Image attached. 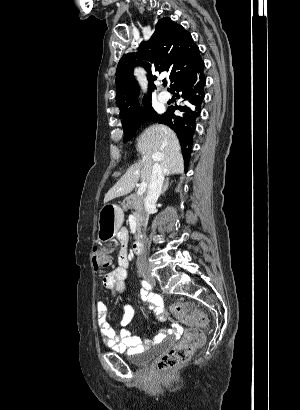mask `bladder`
I'll return each mask as SVG.
<instances>
[{
  "instance_id": "1",
  "label": "bladder",
  "mask_w": 300,
  "mask_h": 410,
  "mask_svg": "<svg viewBox=\"0 0 300 410\" xmlns=\"http://www.w3.org/2000/svg\"><path fill=\"white\" fill-rule=\"evenodd\" d=\"M153 349L143 351L141 354L127 356V360L135 366H144L151 361L154 355Z\"/></svg>"
}]
</instances>
